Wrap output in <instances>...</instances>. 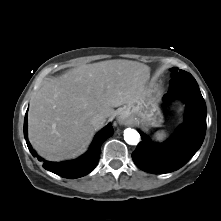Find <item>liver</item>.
<instances>
[{"instance_id": "obj_1", "label": "liver", "mask_w": 221, "mask_h": 221, "mask_svg": "<svg viewBox=\"0 0 221 221\" xmlns=\"http://www.w3.org/2000/svg\"><path fill=\"white\" fill-rule=\"evenodd\" d=\"M150 68L129 60H108L69 70L45 83L30 103L28 137L40 156L60 161L77 156L99 128L91 123L102 114L145 94Z\"/></svg>"}]
</instances>
